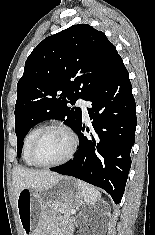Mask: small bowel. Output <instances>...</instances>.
Masks as SVG:
<instances>
[{"label":"small bowel","mask_w":155,"mask_h":235,"mask_svg":"<svg viewBox=\"0 0 155 235\" xmlns=\"http://www.w3.org/2000/svg\"><path fill=\"white\" fill-rule=\"evenodd\" d=\"M48 235H69V232L66 228H63L61 230H55L53 228H50L48 230Z\"/></svg>","instance_id":"small-bowel-1"}]
</instances>
